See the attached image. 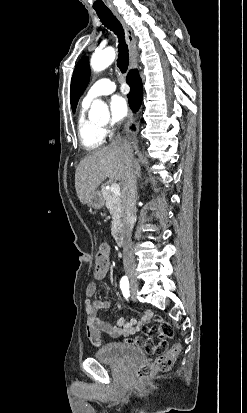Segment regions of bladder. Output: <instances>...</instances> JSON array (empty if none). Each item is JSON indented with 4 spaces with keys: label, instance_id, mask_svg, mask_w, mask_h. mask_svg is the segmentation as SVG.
<instances>
[{
    "label": "bladder",
    "instance_id": "1",
    "mask_svg": "<svg viewBox=\"0 0 247 413\" xmlns=\"http://www.w3.org/2000/svg\"><path fill=\"white\" fill-rule=\"evenodd\" d=\"M145 354L141 348H135L123 343H107L96 352L95 358L110 363L126 364L137 358H144Z\"/></svg>",
    "mask_w": 247,
    "mask_h": 413
}]
</instances>
